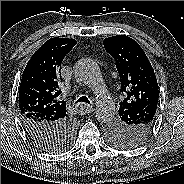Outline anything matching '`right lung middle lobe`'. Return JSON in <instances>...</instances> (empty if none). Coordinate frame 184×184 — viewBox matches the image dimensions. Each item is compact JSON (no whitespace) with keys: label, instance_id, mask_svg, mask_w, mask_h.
Segmentation results:
<instances>
[{"label":"right lung middle lobe","instance_id":"1","mask_svg":"<svg viewBox=\"0 0 184 184\" xmlns=\"http://www.w3.org/2000/svg\"><path fill=\"white\" fill-rule=\"evenodd\" d=\"M73 135H74V132H72L71 130L67 131L66 134L63 136L60 144L59 145H54V146L48 147V150L47 151H50V152H59V151L64 150L71 143L72 138H73ZM62 147H64V148H62Z\"/></svg>","mask_w":184,"mask_h":184}]
</instances>
